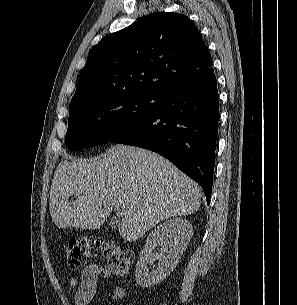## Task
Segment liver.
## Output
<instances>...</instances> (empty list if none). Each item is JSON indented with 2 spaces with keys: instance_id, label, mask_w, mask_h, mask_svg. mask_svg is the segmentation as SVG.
<instances>
[{
  "instance_id": "6515ba94",
  "label": "liver",
  "mask_w": 297,
  "mask_h": 305,
  "mask_svg": "<svg viewBox=\"0 0 297 305\" xmlns=\"http://www.w3.org/2000/svg\"><path fill=\"white\" fill-rule=\"evenodd\" d=\"M196 182L162 156L133 146H112L102 158L62 161L50 189V214L59 228L98 229L123 206L121 236L137 240L172 216L195 213Z\"/></svg>"
}]
</instances>
